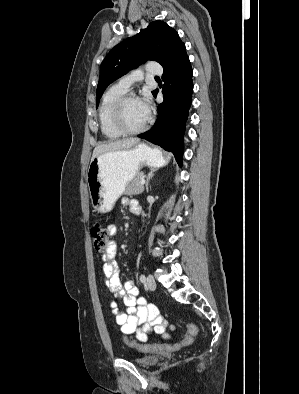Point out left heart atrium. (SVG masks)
I'll list each match as a JSON object with an SVG mask.
<instances>
[{
	"label": "left heart atrium",
	"instance_id": "1",
	"mask_svg": "<svg viewBox=\"0 0 299 394\" xmlns=\"http://www.w3.org/2000/svg\"><path fill=\"white\" fill-rule=\"evenodd\" d=\"M142 110L148 116L152 110V102L148 96L138 99Z\"/></svg>",
	"mask_w": 299,
	"mask_h": 394
}]
</instances>
